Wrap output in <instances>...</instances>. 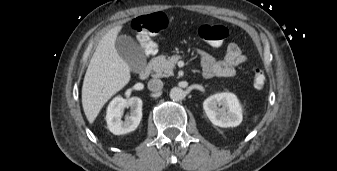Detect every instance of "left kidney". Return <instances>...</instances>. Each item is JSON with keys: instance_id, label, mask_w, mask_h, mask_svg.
Instances as JSON below:
<instances>
[{"instance_id": "5707ae66", "label": "left kidney", "mask_w": 337, "mask_h": 171, "mask_svg": "<svg viewBox=\"0 0 337 171\" xmlns=\"http://www.w3.org/2000/svg\"><path fill=\"white\" fill-rule=\"evenodd\" d=\"M203 108L209 120L216 126L236 127L242 122V108L233 93L211 95L203 102Z\"/></svg>"}]
</instances>
